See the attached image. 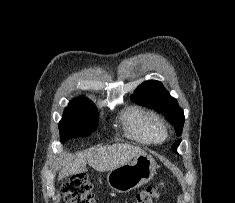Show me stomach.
Here are the masks:
<instances>
[{
  "mask_svg": "<svg viewBox=\"0 0 235 203\" xmlns=\"http://www.w3.org/2000/svg\"><path fill=\"white\" fill-rule=\"evenodd\" d=\"M155 172V160L147 154H142L133 161L110 170L107 183L116 192L127 193L150 181Z\"/></svg>",
  "mask_w": 235,
  "mask_h": 203,
  "instance_id": "obj_1",
  "label": "stomach"
}]
</instances>
